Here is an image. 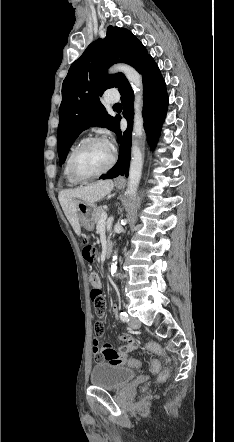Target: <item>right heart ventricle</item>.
<instances>
[{
    "mask_svg": "<svg viewBox=\"0 0 234 442\" xmlns=\"http://www.w3.org/2000/svg\"><path fill=\"white\" fill-rule=\"evenodd\" d=\"M81 141H82V140L77 141V142L75 143V145L73 146V148L71 149V151H72V150L74 149V147L77 146ZM71 151H70V153H71ZM70 153H69V155H70ZM69 155H68V157H69ZM68 157H67L66 162H65V165H64V171H63L64 176H65V178H66V180H67V182H68L69 185H71V186L78 185V184H80L81 182L75 180V179L71 176V174H70V172H69V169H68Z\"/></svg>",
    "mask_w": 234,
    "mask_h": 442,
    "instance_id": "1",
    "label": "right heart ventricle"
}]
</instances>
